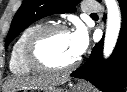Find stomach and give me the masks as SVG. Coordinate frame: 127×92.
I'll return each mask as SVG.
<instances>
[{
    "mask_svg": "<svg viewBox=\"0 0 127 92\" xmlns=\"http://www.w3.org/2000/svg\"><path fill=\"white\" fill-rule=\"evenodd\" d=\"M50 92H91L89 86L85 82H78L76 85H71L69 89L54 88Z\"/></svg>",
    "mask_w": 127,
    "mask_h": 92,
    "instance_id": "0dacf381",
    "label": "stomach"
}]
</instances>
